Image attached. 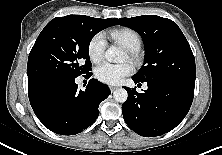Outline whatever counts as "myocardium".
<instances>
[{"label": "myocardium", "instance_id": "obj_1", "mask_svg": "<svg viewBox=\"0 0 222 155\" xmlns=\"http://www.w3.org/2000/svg\"><path fill=\"white\" fill-rule=\"evenodd\" d=\"M128 55H129V58L135 62H137L139 60V55H138L137 51L128 50Z\"/></svg>", "mask_w": 222, "mask_h": 155}]
</instances>
